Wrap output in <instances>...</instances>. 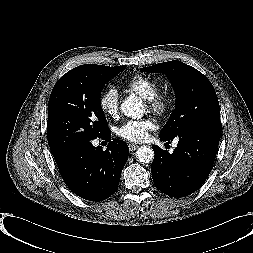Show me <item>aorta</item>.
Here are the masks:
<instances>
[{"label":"aorta","mask_w":253,"mask_h":253,"mask_svg":"<svg viewBox=\"0 0 253 253\" xmlns=\"http://www.w3.org/2000/svg\"><path fill=\"white\" fill-rule=\"evenodd\" d=\"M121 112L127 117L140 118L144 114L142 100L135 95L127 97L121 104ZM136 157L141 163L148 164L154 158V151L148 146L140 147L136 151Z\"/></svg>","instance_id":"762f6f07"}]
</instances>
